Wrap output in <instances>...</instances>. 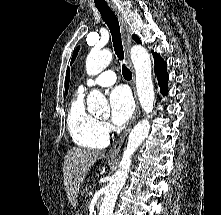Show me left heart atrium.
<instances>
[{"mask_svg": "<svg viewBox=\"0 0 221 215\" xmlns=\"http://www.w3.org/2000/svg\"><path fill=\"white\" fill-rule=\"evenodd\" d=\"M111 121L117 125H124L132 116L134 102L129 90L118 86L110 94Z\"/></svg>", "mask_w": 221, "mask_h": 215, "instance_id": "1", "label": "left heart atrium"}]
</instances>
